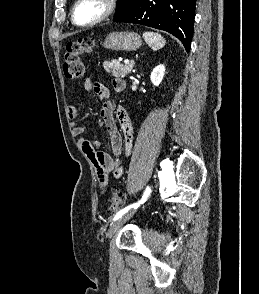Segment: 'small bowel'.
Wrapping results in <instances>:
<instances>
[{"instance_id": "1", "label": "small bowel", "mask_w": 259, "mask_h": 294, "mask_svg": "<svg viewBox=\"0 0 259 294\" xmlns=\"http://www.w3.org/2000/svg\"><path fill=\"white\" fill-rule=\"evenodd\" d=\"M84 88L88 92L93 91L100 98L101 109L98 123L105 126L109 134V144L112 152L97 151L95 147L100 146V142L92 143L81 137L86 127L78 125L76 122L79 106L71 105L68 107V116L72 124L71 133L74 137L79 138L81 149L91 161L99 182L106 185L110 173L115 178H120L123 175L119 157L122 154L129 156L132 151L133 128L128 113L122 107H113L109 99L110 91L105 85L95 83L91 78H87L84 82ZM113 88L116 92L123 91L125 88L124 80L115 78Z\"/></svg>"}]
</instances>
